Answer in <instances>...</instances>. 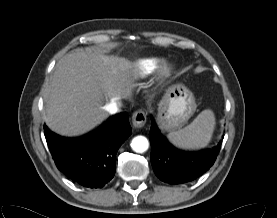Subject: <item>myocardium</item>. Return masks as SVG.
<instances>
[{
    "label": "myocardium",
    "instance_id": "1",
    "mask_svg": "<svg viewBox=\"0 0 277 218\" xmlns=\"http://www.w3.org/2000/svg\"><path fill=\"white\" fill-rule=\"evenodd\" d=\"M172 71H173L172 65L164 64L160 69L159 76L162 79L167 78L171 75Z\"/></svg>",
    "mask_w": 277,
    "mask_h": 218
}]
</instances>
